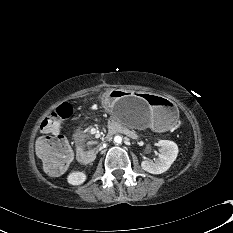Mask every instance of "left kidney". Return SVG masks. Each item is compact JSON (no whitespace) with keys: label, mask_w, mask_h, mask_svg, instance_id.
I'll return each mask as SVG.
<instances>
[{"label":"left kidney","mask_w":233,"mask_h":233,"mask_svg":"<svg viewBox=\"0 0 233 233\" xmlns=\"http://www.w3.org/2000/svg\"><path fill=\"white\" fill-rule=\"evenodd\" d=\"M157 146L160 147L159 158L155 162L149 160L141 162L142 169L151 174H162L167 171L177 158L179 151L177 144L169 140H160Z\"/></svg>","instance_id":"5707ae66"}]
</instances>
